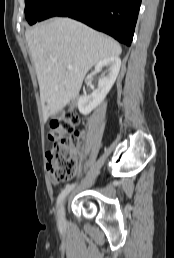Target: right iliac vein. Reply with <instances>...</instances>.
Returning <instances> with one entry per match:
<instances>
[{"mask_svg": "<svg viewBox=\"0 0 174 258\" xmlns=\"http://www.w3.org/2000/svg\"><path fill=\"white\" fill-rule=\"evenodd\" d=\"M64 215H65V201L62 202V204L59 208V213H58L59 223H62L64 221Z\"/></svg>", "mask_w": 174, "mask_h": 258, "instance_id": "1", "label": "right iliac vein"}]
</instances>
